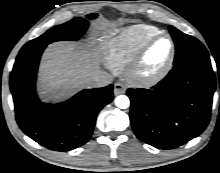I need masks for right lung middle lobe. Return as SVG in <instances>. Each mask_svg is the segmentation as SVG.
Returning a JSON list of instances; mask_svg holds the SVG:
<instances>
[{
  "instance_id": "dd1d6c3e",
  "label": "right lung middle lobe",
  "mask_w": 220,
  "mask_h": 173,
  "mask_svg": "<svg viewBox=\"0 0 220 173\" xmlns=\"http://www.w3.org/2000/svg\"><path fill=\"white\" fill-rule=\"evenodd\" d=\"M96 16L97 14H89L87 17L95 18ZM88 25L89 23L87 20L83 18H74L62 25L49 29L42 36L29 41L22 47L20 52L46 46L54 41L76 40L85 32Z\"/></svg>"
}]
</instances>
